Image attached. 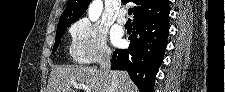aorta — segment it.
<instances>
[{
  "label": "aorta",
  "instance_id": "762f6f07",
  "mask_svg": "<svg viewBox=\"0 0 225 92\" xmlns=\"http://www.w3.org/2000/svg\"><path fill=\"white\" fill-rule=\"evenodd\" d=\"M103 9V3L101 0H95L93 1L88 9V15H89V19L91 21H96L102 12Z\"/></svg>",
  "mask_w": 225,
  "mask_h": 92
}]
</instances>
